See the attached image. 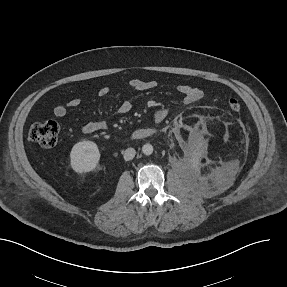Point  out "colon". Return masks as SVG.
<instances>
[{"label":"colon","instance_id":"5ec220e1","mask_svg":"<svg viewBox=\"0 0 287 287\" xmlns=\"http://www.w3.org/2000/svg\"><path fill=\"white\" fill-rule=\"evenodd\" d=\"M228 108L234 113H239L242 110V104L238 99L231 98L228 101ZM58 135L59 126L55 121L35 122L28 130V139L43 148L55 146Z\"/></svg>","mask_w":287,"mask_h":287}]
</instances>
